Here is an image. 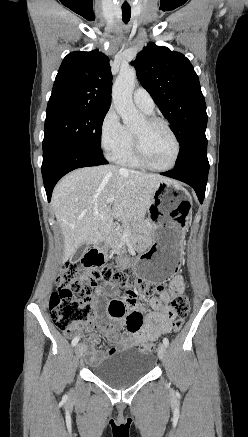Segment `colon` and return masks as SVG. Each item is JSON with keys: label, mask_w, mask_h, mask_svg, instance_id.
Returning a JSON list of instances; mask_svg holds the SVG:
<instances>
[{"label": "colon", "mask_w": 248, "mask_h": 437, "mask_svg": "<svg viewBox=\"0 0 248 437\" xmlns=\"http://www.w3.org/2000/svg\"><path fill=\"white\" fill-rule=\"evenodd\" d=\"M83 265L89 269L87 282H81L76 264L67 263L56 278L55 290L49 302L50 316L57 328L65 330L74 325L89 323L93 318V310L88 297L91 288L98 281L114 282L127 289V291L152 298L163 291V286H145L144 280L130 276L125 272L114 270L104 264L102 255H97L86 260ZM190 311L189 298L183 293L173 294L169 314L175 318L172 328L179 332L184 324V319ZM139 349L142 352H153L155 344L144 343Z\"/></svg>", "instance_id": "5ec220e1"}]
</instances>
